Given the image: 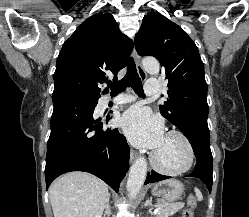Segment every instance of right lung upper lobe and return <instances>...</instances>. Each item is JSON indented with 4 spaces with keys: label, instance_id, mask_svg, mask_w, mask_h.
<instances>
[{
    "label": "right lung upper lobe",
    "instance_id": "right-lung-upper-lobe-1",
    "mask_svg": "<svg viewBox=\"0 0 249 217\" xmlns=\"http://www.w3.org/2000/svg\"><path fill=\"white\" fill-rule=\"evenodd\" d=\"M132 49L133 42L121 33L111 14H94L63 44L57 58L53 94L74 92L99 97V84L109 73L117 80Z\"/></svg>",
    "mask_w": 249,
    "mask_h": 217
}]
</instances>
